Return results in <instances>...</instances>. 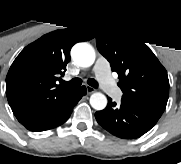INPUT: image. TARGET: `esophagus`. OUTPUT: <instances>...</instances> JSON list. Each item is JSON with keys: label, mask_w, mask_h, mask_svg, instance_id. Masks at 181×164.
Segmentation results:
<instances>
[{"label": "esophagus", "mask_w": 181, "mask_h": 164, "mask_svg": "<svg viewBox=\"0 0 181 164\" xmlns=\"http://www.w3.org/2000/svg\"><path fill=\"white\" fill-rule=\"evenodd\" d=\"M86 89H87V94H92L95 91V89L92 88L91 86H86Z\"/></svg>", "instance_id": "34e87169"}]
</instances>
